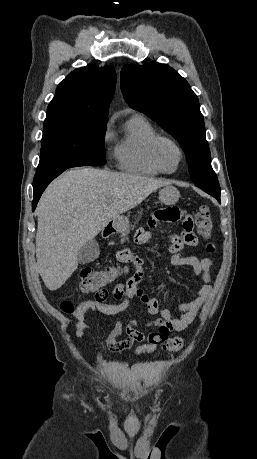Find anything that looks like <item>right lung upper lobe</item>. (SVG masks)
I'll return each instance as SVG.
<instances>
[{
    "label": "right lung upper lobe",
    "instance_id": "1",
    "mask_svg": "<svg viewBox=\"0 0 257 459\" xmlns=\"http://www.w3.org/2000/svg\"><path fill=\"white\" fill-rule=\"evenodd\" d=\"M116 84V72L89 64L71 72L57 87L47 115H60L107 123L108 107Z\"/></svg>",
    "mask_w": 257,
    "mask_h": 459
}]
</instances>
